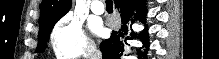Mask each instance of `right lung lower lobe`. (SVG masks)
Instances as JSON below:
<instances>
[{
  "instance_id": "1",
  "label": "right lung lower lobe",
  "mask_w": 219,
  "mask_h": 59,
  "mask_svg": "<svg viewBox=\"0 0 219 59\" xmlns=\"http://www.w3.org/2000/svg\"><path fill=\"white\" fill-rule=\"evenodd\" d=\"M115 6L120 9L121 14V29L119 32H112L111 37L100 44V50L102 52L103 59H120L122 54L126 51V40L133 39L136 35L133 33L132 24L136 19H140L145 23L147 10L145 6V0H114ZM134 10L139 15L134 13ZM145 34L140 35L143 42V47L148 48V29L145 25ZM147 51L142 53V56L146 58Z\"/></svg>"
}]
</instances>
